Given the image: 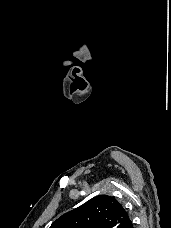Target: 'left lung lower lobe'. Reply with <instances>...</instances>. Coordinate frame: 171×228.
Returning a JSON list of instances; mask_svg holds the SVG:
<instances>
[{
  "mask_svg": "<svg viewBox=\"0 0 171 228\" xmlns=\"http://www.w3.org/2000/svg\"><path fill=\"white\" fill-rule=\"evenodd\" d=\"M122 228H133L132 221L129 219L123 226Z\"/></svg>",
  "mask_w": 171,
  "mask_h": 228,
  "instance_id": "left-lung-lower-lobe-1",
  "label": "left lung lower lobe"
}]
</instances>
